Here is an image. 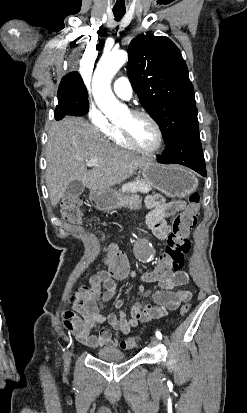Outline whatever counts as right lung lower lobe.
Instances as JSON below:
<instances>
[{"label": "right lung lower lobe", "mask_w": 247, "mask_h": 413, "mask_svg": "<svg viewBox=\"0 0 247 413\" xmlns=\"http://www.w3.org/2000/svg\"><path fill=\"white\" fill-rule=\"evenodd\" d=\"M66 115L70 116H82L80 110L66 101H60L55 109L56 120H61Z\"/></svg>", "instance_id": "right-lung-lower-lobe-1"}]
</instances>
